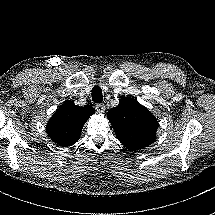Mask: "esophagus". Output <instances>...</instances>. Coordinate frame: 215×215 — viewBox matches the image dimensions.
<instances>
[{"instance_id": "34e87169", "label": "esophagus", "mask_w": 215, "mask_h": 215, "mask_svg": "<svg viewBox=\"0 0 215 215\" xmlns=\"http://www.w3.org/2000/svg\"><path fill=\"white\" fill-rule=\"evenodd\" d=\"M95 108H96V111L99 113H104L106 111V107L102 103L96 104Z\"/></svg>"}]
</instances>
